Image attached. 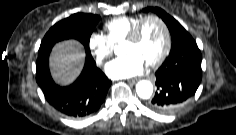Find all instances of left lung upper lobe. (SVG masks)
Instances as JSON below:
<instances>
[{
	"label": "left lung upper lobe",
	"mask_w": 236,
	"mask_h": 135,
	"mask_svg": "<svg viewBox=\"0 0 236 135\" xmlns=\"http://www.w3.org/2000/svg\"><path fill=\"white\" fill-rule=\"evenodd\" d=\"M153 11L155 12L159 17L162 18V20L166 23L171 37H172V46H171V51L170 54L175 52L177 49L180 47L188 44V43H195L194 39L191 37V35L180 25V23L175 20L172 16L167 14L164 10L160 8H145L143 9L144 12L148 11ZM179 26L182 27V33L181 35L179 34H174V32L179 28Z\"/></svg>",
	"instance_id": "obj_1"
}]
</instances>
